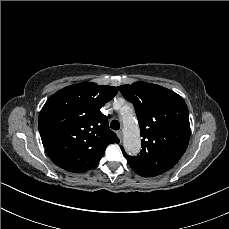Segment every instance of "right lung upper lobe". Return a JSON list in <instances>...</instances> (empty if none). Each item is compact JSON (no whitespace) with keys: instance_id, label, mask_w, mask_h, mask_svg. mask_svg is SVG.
<instances>
[{"instance_id":"cb5924a9","label":"right lung upper lobe","mask_w":229,"mask_h":229,"mask_svg":"<svg viewBox=\"0 0 229 229\" xmlns=\"http://www.w3.org/2000/svg\"><path fill=\"white\" fill-rule=\"evenodd\" d=\"M118 90L80 83L53 94L39 114V131L50 159L62 169L82 173L94 167L111 143H119L100 108Z\"/></svg>"}]
</instances>
